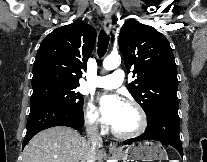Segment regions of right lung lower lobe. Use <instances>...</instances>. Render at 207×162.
<instances>
[{
  "label": "right lung lower lobe",
  "instance_id": "1",
  "mask_svg": "<svg viewBox=\"0 0 207 162\" xmlns=\"http://www.w3.org/2000/svg\"><path fill=\"white\" fill-rule=\"evenodd\" d=\"M30 107L23 147L35 134L44 129L54 126L79 129L84 124L83 111H76L56 102H38L31 104Z\"/></svg>",
  "mask_w": 207,
  "mask_h": 162
}]
</instances>
